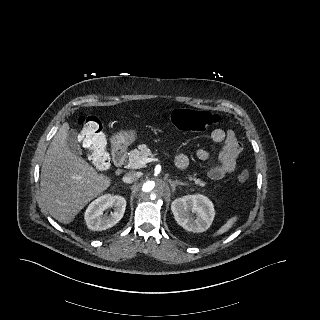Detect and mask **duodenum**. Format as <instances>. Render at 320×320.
Here are the masks:
<instances>
[{
  "label": "duodenum",
  "instance_id": "duodenum-1",
  "mask_svg": "<svg viewBox=\"0 0 320 320\" xmlns=\"http://www.w3.org/2000/svg\"><path fill=\"white\" fill-rule=\"evenodd\" d=\"M126 149L123 145L117 144L113 149V162L117 167H122L126 159Z\"/></svg>",
  "mask_w": 320,
  "mask_h": 320
}]
</instances>
